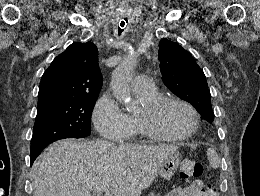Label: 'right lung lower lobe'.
<instances>
[{
	"label": "right lung lower lobe",
	"mask_w": 260,
	"mask_h": 196,
	"mask_svg": "<svg viewBox=\"0 0 260 196\" xmlns=\"http://www.w3.org/2000/svg\"><path fill=\"white\" fill-rule=\"evenodd\" d=\"M43 150V149H42ZM41 149H38V150H34V151H31V164L33 163V161L36 159V157L41 153L42 151Z\"/></svg>",
	"instance_id": "right-lung-lower-lobe-1"
}]
</instances>
